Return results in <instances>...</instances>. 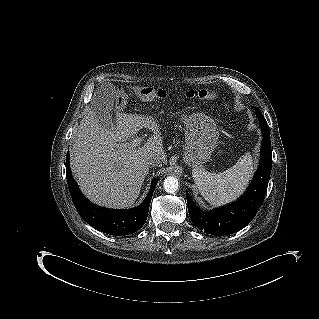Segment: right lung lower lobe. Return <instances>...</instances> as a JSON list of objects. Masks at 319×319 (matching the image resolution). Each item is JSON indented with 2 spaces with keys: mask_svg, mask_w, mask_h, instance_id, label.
Listing matches in <instances>:
<instances>
[{
  "mask_svg": "<svg viewBox=\"0 0 319 319\" xmlns=\"http://www.w3.org/2000/svg\"><path fill=\"white\" fill-rule=\"evenodd\" d=\"M69 160V151L66 161ZM67 183L73 203L85 220L93 228L110 235L122 236L138 231L146 222L148 210L158 179L152 181L149 193L144 202L133 209H107L91 203L81 193L72 177L69 162H66Z\"/></svg>",
  "mask_w": 319,
  "mask_h": 319,
  "instance_id": "right-lung-lower-lobe-1",
  "label": "right lung lower lobe"
}]
</instances>
